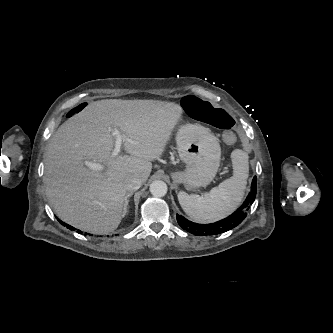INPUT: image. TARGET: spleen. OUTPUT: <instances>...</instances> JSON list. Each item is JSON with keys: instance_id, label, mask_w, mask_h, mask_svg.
Returning a JSON list of instances; mask_svg holds the SVG:
<instances>
[{"instance_id": "1", "label": "spleen", "mask_w": 333, "mask_h": 333, "mask_svg": "<svg viewBox=\"0 0 333 333\" xmlns=\"http://www.w3.org/2000/svg\"><path fill=\"white\" fill-rule=\"evenodd\" d=\"M233 176L204 195L178 193L184 212L199 223H211L230 215L240 204L249 173L248 154L236 149L231 153Z\"/></svg>"}]
</instances>
